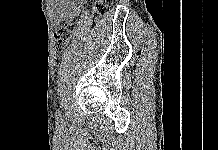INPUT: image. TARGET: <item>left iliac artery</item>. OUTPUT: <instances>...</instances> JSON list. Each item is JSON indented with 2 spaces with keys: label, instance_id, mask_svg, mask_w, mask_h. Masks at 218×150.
Instances as JSON below:
<instances>
[{
  "label": "left iliac artery",
  "instance_id": "44dca946",
  "mask_svg": "<svg viewBox=\"0 0 218 150\" xmlns=\"http://www.w3.org/2000/svg\"><path fill=\"white\" fill-rule=\"evenodd\" d=\"M56 114H57V115H60V112L57 110V111H56Z\"/></svg>",
  "mask_w": 218,
  "mask_h": 150
}]
</instances>
